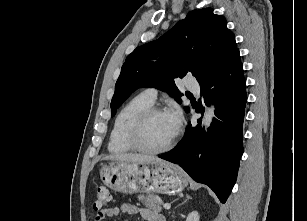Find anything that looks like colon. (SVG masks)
<instances>
[{"label":"colon","instance_id":"colon-1","mask_svg":"<svg viewBox=\"0 0 307 221\" xmlns=\"http://www.w3.org/2000/svg\"><path fill=\"white\" fill-rule=\"evenodd\" d=\"M111 193L108 187L101 186L98 188L94 207L96 210H102L110 201Z\"/></svg>","mask_w":307,"mask_h":221}]
</instances>
